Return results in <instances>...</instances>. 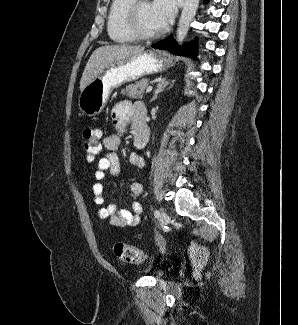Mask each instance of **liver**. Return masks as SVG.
I'll return each instance as SVG.
<instances>
[{"mask_svg":"<svg viewBox=\"0 0 298 325\" xmlns=\"http://www.w3.org/2000/svg\"><path fill=\"white\" fill-rule=\"evenodd\" d=\"M143 50H145V46H132V44H105V46H98L90 54L82 72L79 84L80 92L93 80L94 76L102 72L105 64L119 60V58H128L132 54H139Z\"/></svg>","mask_w":298,"mask_h":325,"instance_id":"1","label":"liver"}]
</instances>
